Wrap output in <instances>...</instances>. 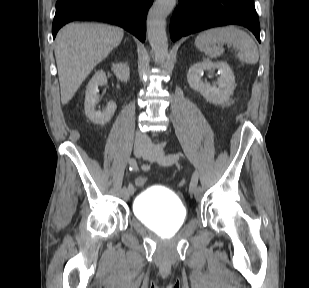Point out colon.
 <instances>
[{"instance_id":"1","label":"colon","mask_w":309,"mask_h":288,"mask_svg":"<svg viewBox=\"0 0 309 288\" xmlns=\"http://www.w3.org/2000/svg\"><path fill=\"white\" fill-rule=\"evenodd\" d=\"M146 183H147V179L145 177H140L136 180V185L138 187H143L146 185Z\"/></svg>"}]
</instances>
